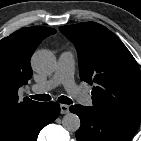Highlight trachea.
<instances>
[{
	"instance_id": "1",
	"label": "trachea",
	"mask_w": 141,
	"mask_h": 141,
	"mask_svg": "<svg viewBox=\"0 0 141 141\" xmlns=\"http://www.w3.org/2000/svg\"><path fill=\"white\" fill-rule=\"evenodd\" d=\"M31 98L35 100H39V101L51 100V96L48 94L32 95ZM58 102L63 103V104H72V100L66 96H60L58 98Z\"/></svg>"
}]
</instances>
